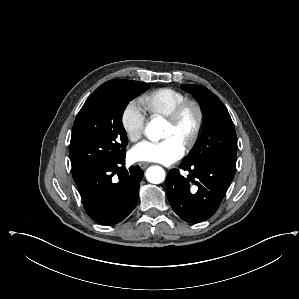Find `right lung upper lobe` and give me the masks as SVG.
Segmentation results:
<instances>
[{"mask_svg":"<svg viewBox=\"0 0 299 299\" xmlns=\"http://www.w3.org/2000/svg\"><path fill=\"white\" fill-rule=\"evenodd\" d=\"M114 81H118V80H111V81H108V82L104 83V84L101 85V86L107 85V84H109V83H111V82H114ZM101 86H100V87H101Z\"/></svg>","mask_w":299,"mask_h":299,"instance_id":"right-lung-upper-lobe-1","label":"right lung upper lobe"}]
</instances>
